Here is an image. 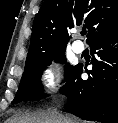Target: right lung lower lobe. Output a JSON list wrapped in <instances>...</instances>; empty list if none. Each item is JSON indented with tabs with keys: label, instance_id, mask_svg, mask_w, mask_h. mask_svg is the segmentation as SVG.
<instances>
[{
	"label": "right lung lower lobe",
	"instance_id": "right-lung-lower-lobe-1",
	"mask_svg": "<svg viewBox=\"0 0 118 123\" xmlns=\"http://www.w3.org/2000/svg\"><path fill=\"white\" fill-rule=\"evenodd\" d=\"M94 57L89 78L82 80V64L70 75L61 93L67 96L69 110L84 119L118 123V32L90 45Z\"/></svg>",
	"mask_w": 118,
	"mask_h": 123
}]
</instances>
